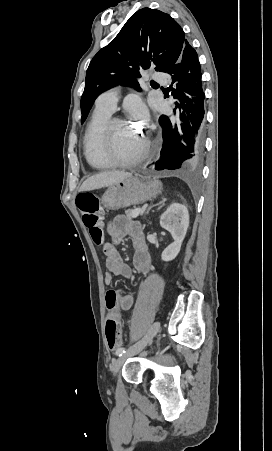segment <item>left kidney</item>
I'll return each mask as SVG.
<instances>
[{"label": "left kidney", "instance_id": "1", "mask_svg": "<svg viewBox=\"0 0 272 451\" xmlns=\"http://www.w3.org/2000/svg\"><path fill=\"white\" fill-rule=\"evenodd\" d=\"M160 226L170 231L174 241L165 247L161 253L163 261H170L178 255L182 241L189 226V214L186 206L182 204H171L160 218Z\"/></svg>", "mask_w": 272, "mask_h": 451}]
</instances>
